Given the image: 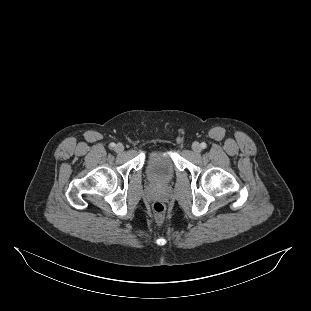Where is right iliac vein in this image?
<instances>
[{"mask_svg":"<svg viewBox=\"0 0 311 311\" xmlns=\"http://www.w3.org/2000/svg\"><path fill=\"white\" fill-rule=\"evenodd\" d=\"M123 150H124L123 144L118 143V144L115 146V151H116V152H122Z\"/></svg>","mask_w":311,"mask_h":311,"instance_id":"obj_1","label":"right iliac vein"}]
</instances>
